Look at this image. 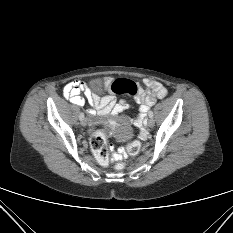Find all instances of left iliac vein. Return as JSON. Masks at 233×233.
Returning <instances> with one entry per match:
<instances>
[{"mask_svg":"<svg viewBox=\"0 0 233 233\" xmlns=\"http://www.w3.org/2000/svg\"><path fill=\"white\" fill-rule=\"evenodd\" d=\"M147 126H148V127H153V126H154V120H153V118L150 117V118L148 119V121H147Z\"/></svg>","mask_w":233,"mask_h":233,"instance_id":"1","label":"left iliac vein"}]
</instances>
